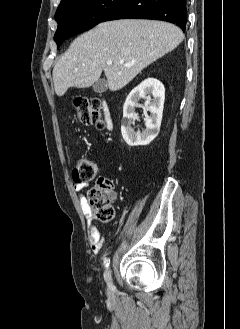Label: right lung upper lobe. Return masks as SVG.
<instances>
[{
	"instance_id": "right-lung-upper-lobe-1",
	"label": "right lung upper lobe",
	"mask_w": 240,
	"mask_h": 329,
	"mask_svg": "<svg viewBox=\"0 0 240 329\" xmlns=\"http://www.w3.org/2000/svg\"><path fill=\"white\" fill-rule=\"evenodd\" d=\"M70 1H71V0H61L60 5H59L58 8L64 6L65 4H67V3L70 2Z\"/></svg>"
}]
</instances>
